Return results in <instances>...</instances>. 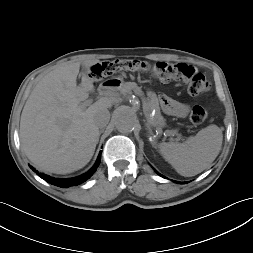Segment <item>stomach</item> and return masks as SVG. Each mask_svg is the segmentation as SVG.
I'll list each match as a JSON object with an SVG mask.
<instances>
[{
	"mask_svg": "<svg viewBox=\"0 0 253 253\" xmlns=\"http://www.w3.org/2000/svg\"><path fill=\"white\" fill-rule=\"evenodd\" d=\"M114 84H118V85H121L122 84V79H117V82H113ZM109 89H116L117 87L116 86H113V87H110V86H107Z\"/></svg>",
	"mask_w": 253,
	"mask_h": 253,
	"instance_id": "obj_1",
	"label": "stomach"
}]
</instances>
